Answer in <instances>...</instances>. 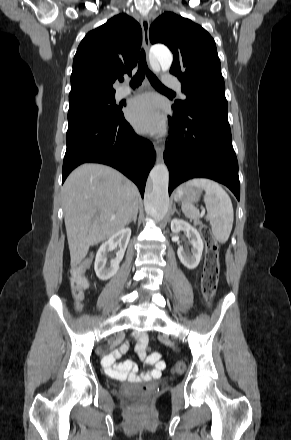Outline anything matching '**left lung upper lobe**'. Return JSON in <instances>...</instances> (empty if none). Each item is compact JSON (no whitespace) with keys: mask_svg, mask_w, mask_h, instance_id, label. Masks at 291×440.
<instances>
[{"mask_svg":"<svg viewBox=\"0 0 291 440\" xmlns=\"http://www.w3.org/2000/svg\"><path fill=\"white\" fill-rule=\"evenodd\" d=\"M150 41L163 43L173 52L170 73L182 83L184 101L174 111L183 114L194 105L227 108L225 84L216 44L200 25L172 12H165L150 26Z\"/></svg>","mask_w":291,"mask_h":440,"instance_id":"1","label":"left lung upper lobe"}]
</instances>
